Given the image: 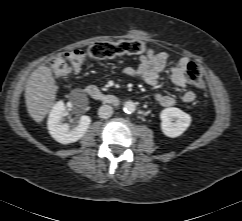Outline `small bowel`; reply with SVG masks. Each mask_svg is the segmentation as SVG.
<instances>
[{
  "label": "small bowel",
  "instance_id": "small-bowel-1",
  "mask_svg": "<svg viewBox=\"0 0 242 221\" xmlns=\"http://www.w3.org/2000/svg\"><path fill=\"white\" fill-rule=\"evenodd\" d=\"M169 63V55L165 52L154 53L148 50L139 57V65L137 67L127 66L123 69V73L133 78L144 80L149 85H155L164 73L168 74L169 81L178 88L186 87L185 72L189 63L188 58L181 57ZM195 93L191 90H185L182 94L184 103H192L195 100ZM155 100L163 107H170L176 104V99L171 95L157 94Z\"/></svg>",
  "mask_w": 242,
  "mask_h": 221
}]
</instances>
